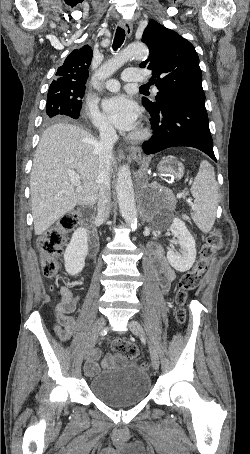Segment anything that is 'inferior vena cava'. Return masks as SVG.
Returning a JSON list of instances; mask_svg holds the SVG:
<instances>
[{
    "label": "inferior vena cava",
    "instance_id": "inferior-vena-cava-1",
    "mask_svg": "<svg viewBox=\"0 0 250 454\" xmlns=\"http://www.w3.org/2000/svg\"><path fill=\"white\" fill-rule=\"evenodd\" d=\"M117 139V133L111 125L100 127L97 218L101 221L107 220L110 214L112 150Z\"/></svg>",
    "mask_w": 250,
    "mask_h": 454
}]
</instances>
